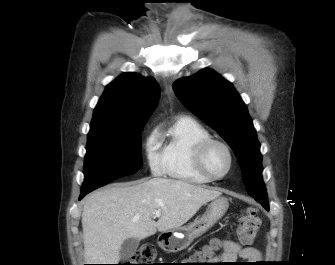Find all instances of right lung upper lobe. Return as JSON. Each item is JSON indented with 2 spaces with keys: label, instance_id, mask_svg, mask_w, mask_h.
Instances as JSON below:
<instances>
[{
  "label": "right lung upper lobe",
  "instance_id": "obj_1",
  "mask_svg": "<svg viewBox=\"0 0 335 265\" xmlns=\"http://www.w3.org/2000/svg\"><path fill=\"white\" fill-rule=\"evenodd\" d=\"M159 98V85L152 77L134 72L120 75L106 86L93 114L90 133H122L144 124Z\"/></svg>",
  "mask_w": 335,
  "mask_h": 265
}]
</instances>
